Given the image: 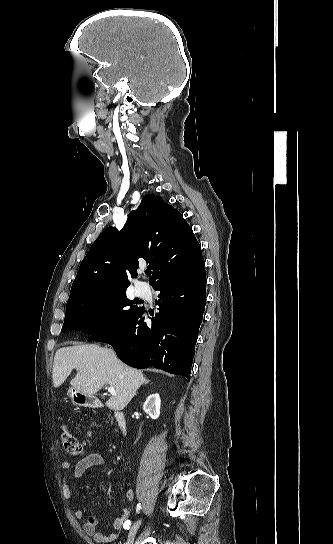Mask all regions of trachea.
Masks as SVG:
<instances>
[{
	"instance_id": "1",
	"label": "trachea",
	"mask_w": 333,
	"mask_h": 544,
	"mask_svg": "<svg viewBox=\"0 0 333 544\" xmlns=\"http://www.w3.org/2000/svg\"><path fill=\"white\" fill-rule=\"evenodd\" d=\"M145 273H146V275L150 276L151 275V270L148 269V270L145 271Z\"/></svg>"
}]
</instances>
